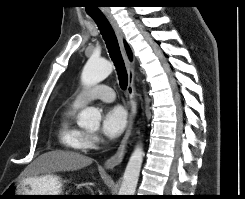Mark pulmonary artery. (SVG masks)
<instances>
[{"instance_id": "pulmonary-artery-1", "label": "pulmonary artery", "mask_w": 245, "mask_h": 199, "mask_svg": "<svg viewBox=\"0 0 245 199\" xmlns=\"http://www.w3.org/2000/svg\"><path fill=\"white\" fill-rule=\"evenodd\" d=\"M96 99L111 102L115 99L114 91L106 85H94L92 87L82 89L76 93L73 99V105L83 107L90 101Z\"/></svg>"}]
</instances>
